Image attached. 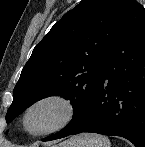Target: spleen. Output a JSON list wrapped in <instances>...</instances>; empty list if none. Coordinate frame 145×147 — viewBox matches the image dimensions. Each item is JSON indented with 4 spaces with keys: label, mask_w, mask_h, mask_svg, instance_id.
Masks as SVG:
<instances>
[{
    "label": "spleen",
    "mask_w": 145,
    "mask_h": 147,
    "mask_svg": "<svg viewBox=\"0 0 145 147\" xmlns=\"http://www.w3.org/2000/svg\"><path fill=\"white\" fill-rule=\"evenodd\" d=\"M70 147H111L110 140L102 135L84 133L74 138Z\"/></svg>",
    "instance_id": "3e777b00"
}]
</instances>
